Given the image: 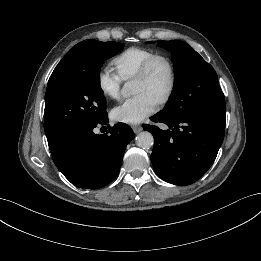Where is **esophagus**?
<instances>
[{
	"label": "esophagus",
	"instance_id": "obj_1",
	"mask_svg": "<svg viewBox=\"0 0 261 261\" xmlns=\"http://www.w3.org/2000/svg\"><path fill=\"white\" fill-rule=\"evenodd\" d=\"M132 129H133L134 133H136V134L142 131V127L137 126V125L132 126Z\"/></svg>",
	"mask_w": 261,
	"mask_h": 261
}]
</instances>
